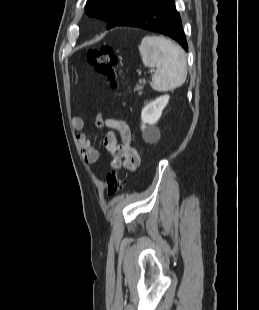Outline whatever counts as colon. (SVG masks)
<instances>
[{"mask_svg":"<svg viewBox=\"0 0 259 310\" xmlns=\"http://www.w3.org/2000/svg\"><path fill=\"white\" fill-rule=\"evenodd\" d=\"M86 60L98 73L105 76L113 90L120 87L119 59L115 49L108 45L89 49ZM108 193L115 194L124 186V179L117 171H111L106 175Z\"/></svg>","mask_w":259,"mask_h":310,"instance_id":"5ec220e1","label":"colon"}]
</instances>
